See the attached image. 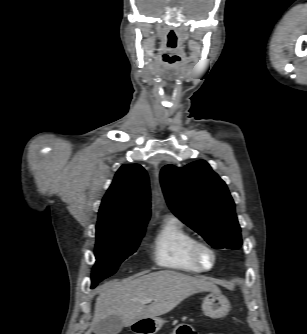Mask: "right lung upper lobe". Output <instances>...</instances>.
Here are the masks:
<instances>
[{"instance_id": "cb5924a9", "label": "right lung upper lobe", "mask_w": 307, "mask_h": 334, "mask_svg": "<svg viewBox=\"0 0 307 334\" xmlns=\"http://www.w3.org/2000/svg\"><path fill=\"white\" fill-rule=\"evenodd\" d=\"M150 218L149 179L138 164L121 166L105 194L96 231L146 226Z\"/></svg>"}]
</instances>
